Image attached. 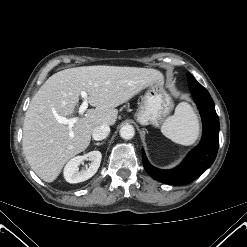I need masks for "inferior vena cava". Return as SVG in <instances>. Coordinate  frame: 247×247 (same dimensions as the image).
<instances>
[{
	"mask_svg": "<svg viewBox=\"0 0 247 247\" xmlns=\"http://www.w3.org/2000/svg\"><path fill=\"white\" fill-rule=\"evenodd\" d=\"M110 133V127L108 125L96 126L92 132V138L96 141L105 139Z\"/></svg>",
	"mask_w": 247,
	"mask_h": 247,
	"instance_id": "1",
	"label": "inferior vena cava"
}]
</instances>
